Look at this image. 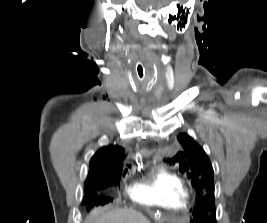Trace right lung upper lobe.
Here are the masks:
<instances>
[{"label": "right lung upper lobe", "instance_id": "obj_1", "mask_svg": "<svg viewBox=\"0 0 267 223\" xmlns=\"http://www.w3.org/2000/svg\"><path fill=\"white\" fill-rule=\"evenodd\" d=\"M122 156L123 149L118 146H108L100 149L90 161V171L87 180L100 181L112 172H122Z\"/></svg>", "mask_w": 267, "mask_h": 223}]
</instances>
